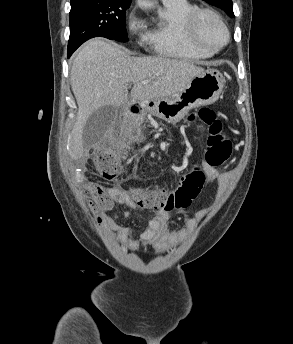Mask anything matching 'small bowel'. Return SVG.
<instances>
[{
    "instance_id": "obj_1",
    "label": "small bowel",
    "mask_w": 293,
    "mask_h": 344,
    "mask_svg": "<svg viewBox=\"0 0 293 344\" xmlns=\"http://www.w3.org/2000/svg\"><path fill=\"white\" fill-rule=\"evenodd\" d=\"M220 176L219 171L205 163L195 173V178L204 189ZM108 192L115 203L124 205L127 210L105 215L102 218L105 232L109 238L116 240L122 248L130 252L138 250L140 240L144 248L151 247L157 253L170 250L183 242L195 225L202 221L210 210V208H205L194 216L184 215V224L179 230L170 227L171 213L166 209H153L150 219L141 227H127L120 222L126 220L130 215V210L138 208V204L119 184L110 187Z\"/></svg>"
}]
</instances>
